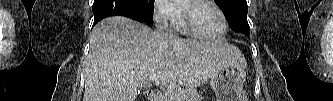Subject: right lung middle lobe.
I'll list each match as a JSON object with an SVG mask.
<instances>
[{"mask_svg":"<svg viewBox=\"0 0 333 101\" xmlns=\"http://www.w3.org/2000/svg\"><path fill=\"white\" fill-rule=\"evenodd\" d=\"M142 11L148 23H153V7L155 0H132Z\"/></svg>","mask_w":333,"mask_h":101,"instance_id":"right-lung-middle-lobe-1","label":"right lung middle lobe"}]
</instances>
